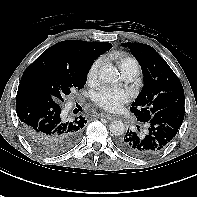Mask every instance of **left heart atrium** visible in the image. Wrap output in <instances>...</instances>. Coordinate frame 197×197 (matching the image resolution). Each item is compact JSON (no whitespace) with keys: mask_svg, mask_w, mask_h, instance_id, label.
Returning <instances> with one entry per match:
<instances>
[{"mask_svg":"<svg viewBox=\"0 0 197 197\" xmlns=\"http://www.w3.org/2000/svg\"><path fill=\"white\" fill-rule=\"evenodd\" d=\"M130 95L126 90L112 87H101L93 95L94 103L107 111H118L128 102Z\"/></svg>","mask_w":197,"mask_h":197,"instance_id":"left-heart-atrium-1","label":"left heart atrium"}]
</instances>
